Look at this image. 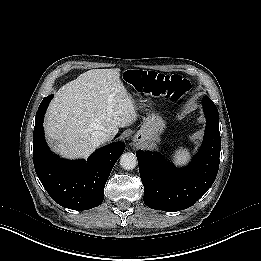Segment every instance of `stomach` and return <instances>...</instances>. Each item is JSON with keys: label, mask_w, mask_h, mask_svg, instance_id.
<instances>
[{"label": "stomach", "mask_w": 261, "mask_h": 261, "mask_svg": "<svg viewBox=\"0 0 261 261\" xmlns=\"http://www.w3.org/2000/svg\"><path fill=\"white\" fill-rule=\"evenodd\" d=\"M143 107L145 108L146 105L140 106V108ZM165 128L164 119L158 113L151 112L143 118V123L140 130L135 134L134 141L145 148H154L160 143V137Z\"/></svg>", "instance_id": "stomach-1"}]
</instances>
